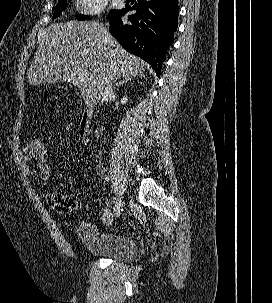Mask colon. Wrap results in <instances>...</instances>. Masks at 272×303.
I'll list each match as a JSON object with an SVG mask.
<instances>
[{
	"instance_id": "5ec220e1",
	"label": "colon",
	"mask_w": 272,
	"mask_h": 303,
	"mask_svg": "<svg viewBox=\"0 0 272 303\" xmlns=\"http://www.w3.org/2000/svg\"><path fill=\"white\" fill-rule=\"evenodd\" d=\"M30 143L35 168L39 172H48L50 169L47 163L48 147L46 142L41 138H34ZM47 202L50 208L59 214H68L77 208V201L75 198L60 192L49 193L47 195Z\"/></svg>"
}]
</instances>
